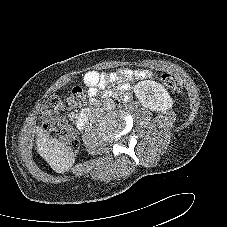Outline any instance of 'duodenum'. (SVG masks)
I'll return each instance as SVG.
<instances>
[{
    "label": "duodenum",
    "instance_id": "1",
    "mask_svg": "<svg viewBox=\"0 0 227 227\" xmlns=\"http://www.w3.org/2000/svg\"><path fill=\"white\" fill-rule=\"evenodd\" d=\"M98 103L97 102H93L88 108L84 109L79 116L77 117L76 120V125L77 128L80 130H83L87 123H88V119H89V114L91 113V111L93 109H95L97 107Z\"/></svg>",
    "mask_w": 227,
    "mask_h": 227
}]
</instances>
